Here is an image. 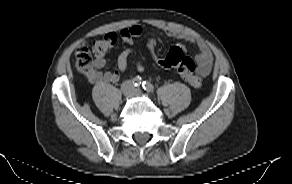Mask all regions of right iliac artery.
Returning a JSON list of instances; mask_svg holds the SVG:
<instances>
[{
  "label": "right iliac artery",
  "mask_w": 292,
  "mask_h": 184,
  "mask_svg": "<svg viewBox=\"0 0 292 184\" xmlns=\"http://www.w3.org/2000/svg\"><path fill=\"white\" fill-rule=\"evenodd\" d=\"M133 84H134V86L139 87L142 84L141 77H139V76L135 77L133 79Z\"/></svg>",
  "instance_id": "1"
}]
</instances>
